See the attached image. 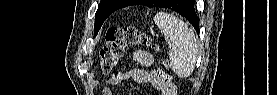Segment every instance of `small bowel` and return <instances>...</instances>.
Wrapping results in <instances>:
<instances>
[{
  "mask_svg": "<svg viewBox=\"0 0 277 95\" xmlns=\"http://www.w3.org/2000/svg\"><path fill=\"white\" fill-rule=\"evenodd\" d=\"M133 60L141 68H131L126 72H120L109 77L108 82L112 86L121 85L132 79L141 84H151L161 91V95H175L173 92V81L160 82L157 73L154 71L153 56L145 50H136L133 53ZM103 95L113 94L109 87H103Z\"/></svg>",
  "mask_w": 277,
  "mask_h": 95,
  "instance_id": "small-bowel-1",
  "label": "small bowel"
}]
</instances>
